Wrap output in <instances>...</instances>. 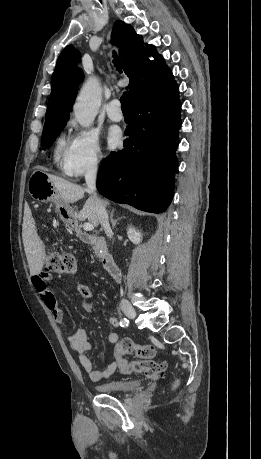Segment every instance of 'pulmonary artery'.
Wrapping results in <instances>:
<instances>
[{
    "label": "pulmonary artery",
    "instance_id": "obj_1",
    "mask_svg": "<svg viewBox=\"0 0 261 459\" xmlns=\"http://www.w3.org/2000/svg\"><path fill=\"white\" fill-rule=\"evenodd\" d=\"M108 117L115 122H120L123 119V113L120 107V101L113 99L106 107Z\"/></svg>",
    "mask_w": 261,
    "mask_h": 459
}]
</instances>
